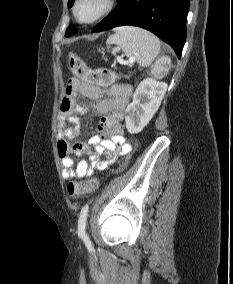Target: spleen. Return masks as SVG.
Instances as JSON below:
<instances>
[{"label": "spleen", "mask_w": 233, "mask_h": 284, "mask_svg": "<svg viewBox=\"0 0 233 284\" xmlns=\"http://www.w3.org/2000/svg\"><path fill=\"white\" fill-rule=\"evenodd\" d=\"M107 44L119 46L129 58H135L142 67L150 66L160 52L159 39L144 29L132 26H122L115 29V33L107 39ZM170 65V61L168 60ZM168 68L156 65V72L161 75Z\"/></svg>", "instance_id": "1"}]
</instances>
